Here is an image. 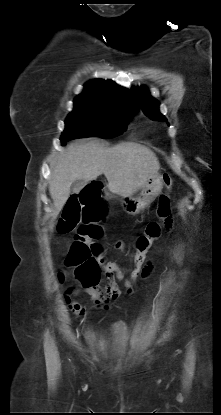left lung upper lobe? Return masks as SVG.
<instances>
[{"instance_id": "obj_1", "label": "left lung upper lobe", "mask_w": 221, "mask_h": 415, "mask_svg": "<svg viewBox=\"0 0 221 415\" xmlns=\"http://www.w3.org/2000/svg\"><path fill=\"white\" fill-rule=\"evenodd\" d=\"M132 94L148 117L153 120L167 121L166 118L159 112V103L150 96L148 89L132 88Z\"/></svg>"}]
</instances>
